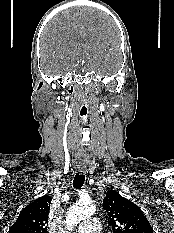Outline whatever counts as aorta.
Wrapping results in <instances>:
<instances>
[{
	"label": "aorta",
	"mask_w": 174,
	"mask_h": 233,
	"mask_svg": "<svg viewBox=\"0 0 174 233\" xmlns=\"http://www.w3.org/2000/svg\"><path fill=\"white\" fill-rule=\"evenodd\" d=\"M95 213V206L91 202H77L72 205L66 216V226L72 231L77 224Z\"/></svg>",
	"instance_id": "762f6f07"
}]
</instances>
